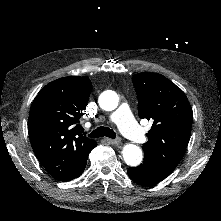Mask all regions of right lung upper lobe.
Wrapping results in <instances>:
<instances>
[{"mask_svg":"<svg viewBox=\"0 0 221 221\" xmlns=\"http://www.w3.org/2000/svg\"><path fill=\"white\" fill-rule=\"evenodd\" d=\"M92 90L85 76L50 82L34 99L28 119L32 148L41 165L57 180H64L87 159L97 145L79 132Z\"/></svg>","mask_w":221,"mask_h":221,"instance_id":"right-lung-upper-lobe-1","label":"right lung upper lobe"}]
</instances>
